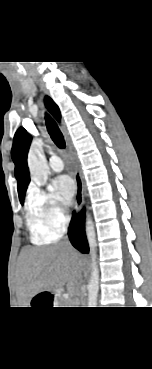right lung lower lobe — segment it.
Masks as SVG:
<instances>
[{"instance_id":"1","label":"right lung lower lobe","mask_w":152,"mask_h":369,"mask_svg":"<svg viewBox=\"0 0 152 369\" xmlns=\"http://www.w3.org/2000/svg\"><path fill=\"white\" fill-rule=\"evenodd\" d=\"M85 211L78 214L73 212L72 220L69 226L68 235L72 245L82 253H88L89 247L85 235Z\"/></svg>"}]
</instances>
